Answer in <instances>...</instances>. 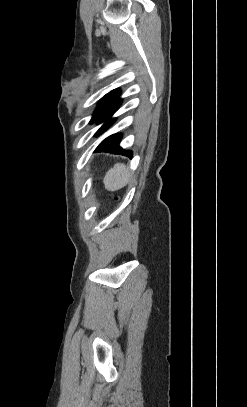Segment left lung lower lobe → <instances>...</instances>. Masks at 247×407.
I'll list each match as a JSON object with an SVG mask.
<instances>
[{
	"instance_id": "obj_1",
	"label": "left lung lower lobe",
	"mask_w": 247,
	"mask_h": 407,
	"mask_svg": "<svg viewBox=\"0 0 247 407\" xmlns=\"http://www.w3.org/2000/svg\"><path fill=\"white\" fill-rule=\"evenodd\" d=\"M121 100L117 98L96 120V122L101 123L105 122L103 126L96 132L95 135H99L105 130H107L115 121L114 118L111 116L115 113V111L119 108ZM122 135L121 134H113L106 139H104L99 146L96 148L95 152H111V153H119L126 155L128 157H132V152L129 150H124L119 146L121 141Z\"/></svg>"
}]
</instances>
